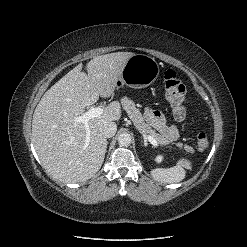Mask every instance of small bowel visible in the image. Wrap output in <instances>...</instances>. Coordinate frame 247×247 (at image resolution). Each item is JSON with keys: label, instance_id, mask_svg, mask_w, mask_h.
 Listing matches in <instances>:
<instances>
[{"label": "small bowel", "instance_id": "1", "mask_svg": "<svg viewBox=\"0 0 247 247\" xmlns=\"http://www.w3.org/2000/svg\"><path fill=\"white\" fill-rule=\"evenodd\" d=\"M145 119L164 137L168 139H175L178 136L176 126L168 125L166 117L160 111L147 108L145 110Z\"/></svg>", "mask_w": 247, "mask_h": 247}]
</instances>
